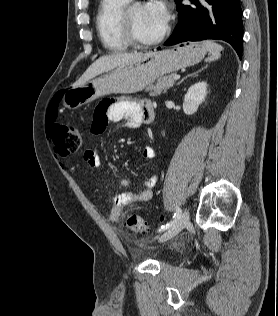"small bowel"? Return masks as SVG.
<instances>
[{
    "label": "small bowel",
    "mask_w": 278,
    "mask_h": 316,
    "mask_svg": "<svg viewBox=\"0 0 278 316\" xmlns=\"http://www.w3.org/2000/svg\"><path fill=\"white\" fill-rule=\"evenodd\" d=\"M152 108L148 100H135L131 98L105 99L97 107L94 113V119L90 127L91 135L101 133L107 121L125 122L128 128H137L145 121L146 112ZM142 157L145 160H151L155 157V151L152 147L146 146L142 150ZM83 158L89 167L98 169L101 166V158L98 148H89L85 150ZM156 177H151L143 183V190L140 193L130 191L113 194L110 196L112 206L109 219L112 223L119 221L122 210L135 202L148 201L153 193V187L156 184ZM122 187L129 185V180L121 181Z\"/></svg>",
    "instance_id": "1"
}]
</instances>
